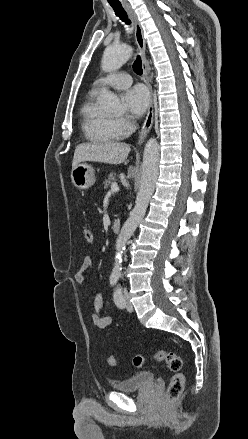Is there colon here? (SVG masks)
Wrapping results in <instances>:
<instances>
[{
    "mask_svg": "<svg viewBox=\"0 0 248 439\" xmlns=\"http://www.w3.org/2000/svg\"><path fill=\"white\" fill-rule=\"evenodd\" d=\"M82 234L86 243H93L94 237L90 229L85 228L82 231ZM147 361L163 362L173 372L167 389L166 397L169 403L176 402L182 395L185 382L184 375L181 372L182 359L180 356L170 351H157L150 356L136 355L133 358V365L136 367H141ZM107 364L114 367L117 366L118 361L114 356L110 355L107 357Z\"/></svg>",
    "mask_w": 248,
    "mask_h": 439,
    "instance_id": "colon-1",
    "label": "colon"
}]
</instances>
